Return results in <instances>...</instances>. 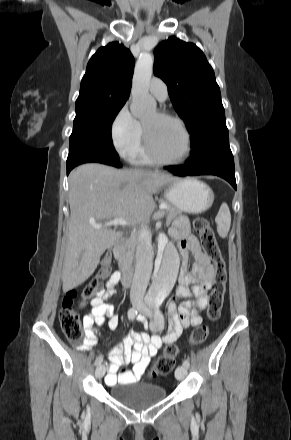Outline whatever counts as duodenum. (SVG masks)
Instances as JSON below:
<instances>
[{
	"mask_svg": "<svg viewBox=\"0 0 291 440\" xmlns=\"http://www.w3.org/2000/svg\"><path fill=\"white\" fill-rule=\"evenodd\" d=\"M122 242V237L117 235L115 237V241L113 243V248H118ZM118 263L120 270L122 272V281L125 285H130L132 282V272L129 267V264L126 260V258L122 255L118 256Z\"/></svg>",
	"mask_w": 291,
	"mask_h": 440,
	"instance_id": "obj_1",
	"label": "duodenum"
}]
</instances>
